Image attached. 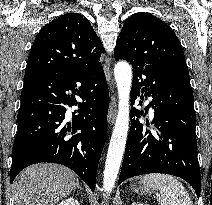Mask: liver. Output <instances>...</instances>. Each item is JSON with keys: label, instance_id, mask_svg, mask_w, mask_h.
<instances>
[{"label": "liver", "instance_id": "6515ba94", "mask_svg": "<svg viewBox=\"0 0 212 205\" xmlns=\"http://www.w3.org/2000/svg\"><path fill=\"white\" fill-rule=\"evenodd\" d=\"M76 175L57 164H36L24 169L13 182L16 205H55L76 187Z\"/></svg>", "mask_w": 212, "mask_h": 205}]
</instances>
